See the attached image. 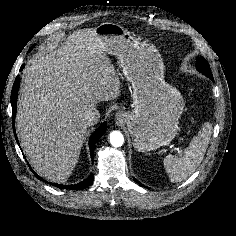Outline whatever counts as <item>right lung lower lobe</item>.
<instances>
[{"instance_id": "obj_1", "label": "right lung lower lobe", "mask_w": 236, "mask_h": 236, "mask_svg": "<svg viewBox=\"0 0 236 236\" xmlns=\"http://www.w3.org/2000/svg\"><path fill=\"white\" fill-rule=\"evenodd\" d=\"M31 51V50H30ZM25 65H22L20 68V71L23 70ZM19 84H20V77L17 76L12 88V92H11V104H12V125H13V130H14V135L16 138V141L18 143V139L15 133V129H14V118L16 115V104H17V94H18V89H19ZM106 131V123H102L101 126L93 133L92 137L89 140V147H90V154H91V158L93 159L94 157V146L96 144V142L98 141V139L104 134V132ZM35 176L41 180H43L42 178H40L34 171H32ZM44 182H47L45 180H43ZM93 181V174H90V176L82 181L81 183L78 184H74V185H58V184H52L56 187L59 188H63V189H72V190H80V189H84L87 186H89ZM49 183V182H47Z\"/></svg>"}]
</instances>
